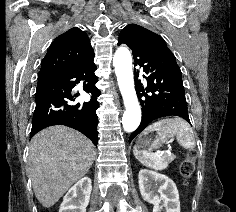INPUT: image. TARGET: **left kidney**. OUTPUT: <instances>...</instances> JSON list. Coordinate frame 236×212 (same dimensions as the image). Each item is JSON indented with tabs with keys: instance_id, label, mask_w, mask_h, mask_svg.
<instances>
[{
	"instance_id": "obj_1",
	"label": "left kidney",
	"mask_w": 236,
	"mask_h": 212,
	"mask_svg": "<svg viewBox=\"0 0 236 212\" xmlns=\"http://www.w3.org/2000/svg\"><path fill=\"white\" fill-rule=\"evenodd\" d=\"M139 190L143 199L153 204V212H161L163 207L167 212H180L178 190L175 183L166 175L141 169ZM161 200L164 202L162 206L160 205Z\"/></svg>"
}]
</instances>
